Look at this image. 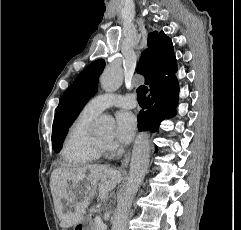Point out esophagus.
Listing matches in <instances>:
<instances>
[{
  "label": "esophagus",
  "mask_w": 241,
  "mask_h": 230,
  "mask_svg": "<svg viewBox=\"0 0 241 230\" xmlns=\"http://www.w3.org/2000/svg\"><path fill=\"white\" fill-rule=\"evenodd\" d=\"M130 161V151L125 154L121 161V167H127Z\"/></svg>",
  "instance_id": "34e87169"
}]
</instances>
